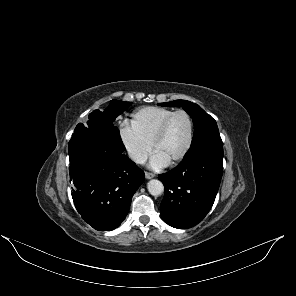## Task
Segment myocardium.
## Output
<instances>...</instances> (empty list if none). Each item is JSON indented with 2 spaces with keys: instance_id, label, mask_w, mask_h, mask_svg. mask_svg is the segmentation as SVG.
Returning a JSON list of instances; mask_svg holds the SVG:
<instances>
[{
  "instance_id": "myocardium-1",
  "label": "myocardium",
  "mask_w": 296,
  "mask_h": 296,
  "mask_svg": "<svg viewBox=\"0 0 296 296\" xmlns=\"http://www.w3.org/2000/svg\"><path fill=\"white\" fill-rule=\"evenodd\" d=\"M178 114H183V115H185L187 117L188 122H189V136H188V140H187L186 146L183 149V151L176 158H174L171 162L168 163V165H170V166L176 165L177 163L182 161L187 156V154L189 153V151L191 149V146H192V143H193V138H194V130H195L194 120H193L192 115L188 111H186L184 109H179V110L173 111L170 115H168L163 120V122L159 126V128H158V130H157V132H156V134H155V136H154V138L152 140V143H151V149L154 152L157 144L164 137L169 123Z\"/></svg>"
}]
</instances>
